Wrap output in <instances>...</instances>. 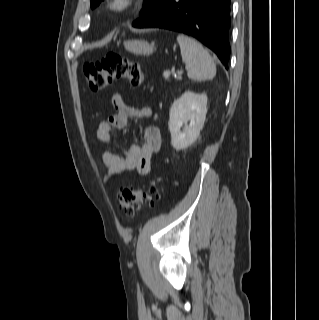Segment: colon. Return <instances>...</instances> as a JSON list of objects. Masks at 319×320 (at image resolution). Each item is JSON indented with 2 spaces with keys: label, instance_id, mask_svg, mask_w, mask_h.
Returning <instances> with one entry per match:
<instances>
[{
  "label": "colon",
  "instance_id": "obj_1",
  "mask_svg": "<svg viewBox=\"0 0 319 320\" xmlns=\"http://www.w3.org/2000/svg\"><path fill=\"white\" fill-rule=\"evenodd\" d=\"M84 73L90 89L94 91L110 86L114 80H123L133 87H139L143 83L140 65L113 51L108 52L101 60L85 64ZM158 198V188L151 184L142 188H122L117 202L125 216L131 219L143 206L153 205Z\"/></svg>",
  "mask_w": 319,
  "mask_h": 320
}]
</instances>
